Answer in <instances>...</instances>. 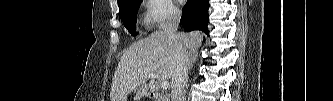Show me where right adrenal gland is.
Listing matches in <instances>:
<instances>
[{
    "instance_id": "2a0ac1e0",
    "label": "right adrenal gland",
    "mask_w": 333,
    "mask_h": 101,
    "mask_svg": "<svg viewBox=\"0 0 333 101\" xmlns=\"http://www.w3.org/2000/svg\"><path fill=\"white\" fill-rule=\"evenodd\" d=\"M198 58V49L190 50L188 53V70L190 71L193 67V64L197 61Z\"/></svg>"
}]
</instances>
